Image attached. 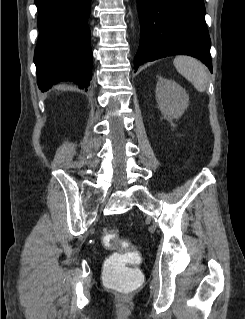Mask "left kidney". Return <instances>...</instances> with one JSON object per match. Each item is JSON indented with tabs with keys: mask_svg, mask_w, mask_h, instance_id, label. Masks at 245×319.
<instances>
[{
	"mask_svg": "<svg viewBox=\"0 0 245 319\" xmlns=\"http://www.w3.org/2000/svg\"><path fill=\"white\" fill-rule=\"evenodd\" d=\"M161 113L169 120L179 118L189 105L186 90L170 79H159L155 91Z\"/></svg>",
	"mask_w": 245,
	"mask_h": 319,
	"instance_id": "obj_1",
	"label": "left kidney"
}]
</instances>
